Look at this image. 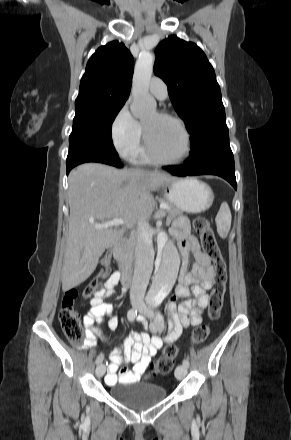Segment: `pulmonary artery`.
Here are the masks:
<instances>
[{"instance_id": "obj_1", "label": "pulmonary artery", "mask_w": 291, "mask_h": 440, "mask_svg": "<svg viewBox=\"0 0 291 440\" xmlns=\"http://www.w3.org/2000/svg\"><path fill=\"white\" fill-rule=\"evenodd\" d=\"M150 92L160 100H164L167 97V85L159 77L154 76L149 83Z\"/></svg>"}]
</instances>
